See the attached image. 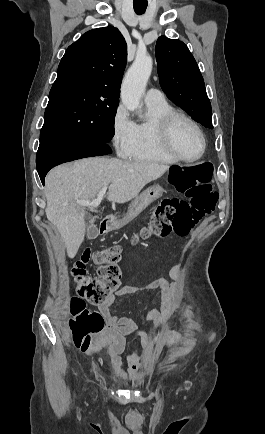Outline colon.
<instances>
[{
  "mask_svg": "<svg viewBox=\"0 0 265 434\" xmlns=\"http://www.w3.org/2000/svg\"><path fill=\"white\" fill-rule=\"evenodd\" d=\"M173 177L174 189H186L187 199L166 198L151 214L150 227L135 235L134 241L141 242L148 236L167 238L170 235L187 236L205 215L211 214L218 203L219 195L211 183V164H172L167 171ZM121 246L114 245L94 252L85 253L75 263L71 275L76 285V294L70 295L71 326L66 333L73 334V347H88L90 335H96L98 327L104 326V319L93 309L87 308L85 301L92 305L107 303L121 284L119 261ZM89 262L98 266V276H89L86 267ZM85 300V301H84ZM172 353V352H170Z\"/></svg>",
  "mask_w": 265,
  "mask_h": 434,
  "instance_id": "obj_1",
  "label": "colon"
}]
</instances>
